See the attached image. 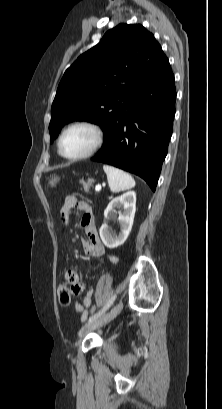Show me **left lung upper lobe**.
Segmentation results:
<instances>
[{"mask_svg": "<svg viewBox=\"0 0 222 409\" xmlns=\"http://www.w3.org/2000/svg\"><path fill=\"white\" fill-rule=\"evenodd\" d=\"M171 71L153 34L140 24H119L64 73L51 108L50 142L69 122L108 130L141 91Z\"/></svg>", "mask_w": 222, "mask_h": 409, "instance_id": "1", "label": "left lung upper lobe"}]
</instances>
